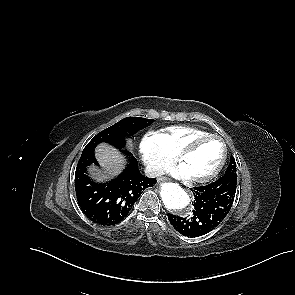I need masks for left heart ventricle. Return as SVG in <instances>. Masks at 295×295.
Wrapping results in <instances>:
<instances>
[{"instance_id": "1", "label": "left heart ventricle", "mask_w": 295, "mask_h": 295, "mask_svg": "<svg viewBox=\"0 0 295 295\" xmlns=\"http://www.w3.org/2000/svg\"><path fill=\"white\" fill-rule=\"evenodd\" d=\"M221 154V143L216 139H208L200 143L181 163L190 177H201L209 174L217 166Z\"/></svg>"}]
</instances>
